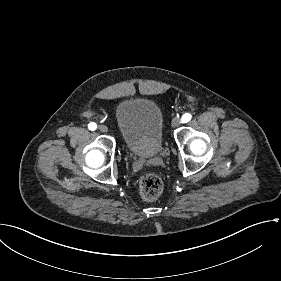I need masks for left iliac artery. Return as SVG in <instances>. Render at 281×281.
Wrapping results in <instances>:
<instances>
[{"label": "left iliac artery", "instance_id": "obj_1", "mask_svg": "<svg viewBox=\"0 0 281 281\" xmlns=\"http://www.w3.org/2000/svg\"><path fill=\"white\" fill-rule=\"evenodd\" d=\"M191 118H192L191 114L185 113V114L182 116L181 121H182L183 123H186V122L190 121Z\"/></svg>", "mask_w": 281, "mask_h": 281}]
</instances>
